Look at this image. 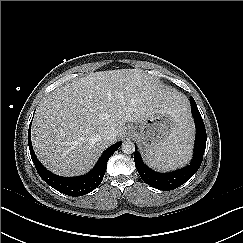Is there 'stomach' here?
<instances>
[{"label":"stomach","instance_id":"1","mask_svg":"<svg viewBox=\"0 0 243 243\" xmlns=\"http://www.w3.org/2000/svg\"><path fill=\"white\" fill-rule=\"evenodd\" d=\"M176 126L174 117L163 108L155 110L143 123L131 125V128L146 154H150L167 143Z\"/></svg>","mask_w":243,"mask_h":243}]
</instances>
